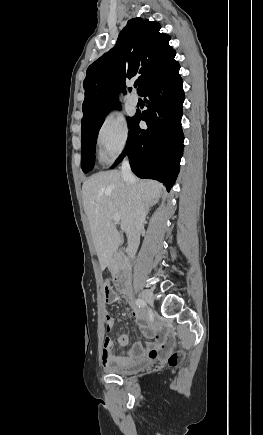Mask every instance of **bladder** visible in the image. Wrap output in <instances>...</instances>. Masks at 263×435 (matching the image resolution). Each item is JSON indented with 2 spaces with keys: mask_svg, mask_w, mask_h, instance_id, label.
Segmentation results:
<instances>
[{
  "mask_svg": "<svg viewBox=\"0 0 263 435\" xmlns=\"http://www.w3.org/2000/svg\"><path fill=\"white\" fill-rule=\"evenodd\" d=\"M151 363L150 360H140L133 363H126V364H118L109 369L111 373L118 374V375H130L134 374L143 368L147 367Z\"/></svg>",
  "mask_w": 263,
  "mask_h": 435,
  "instance_id": "1",
  "label": "bladder"
}]
</instances>
